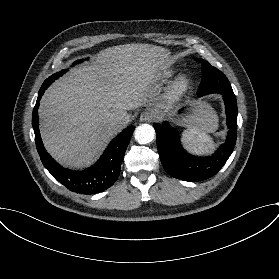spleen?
<instances>
[{
  "instance_id": "1",
  "label": "spleen",
  "mask_w": 279,
  "mask_h": 279,
  "mask_svg": "<svg viewBox=\"0 0 279 279\" xmlns=\"http://www.w3.org/2000/svg\"><path fill=\"white\" fill-rule=\"evenodd\" d=\"M217 126V117L212 110L206 106L201 119L188 126L183 139L187 147L196 153H209L215 144L207 136L208 132L213 131Z\"/></svg>"
}]
</instances>
